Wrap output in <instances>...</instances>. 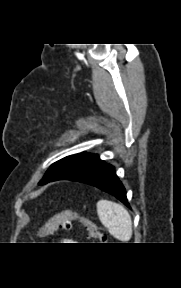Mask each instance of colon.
<instances>
[{
  "mask_svg": "<svg viewBox=\"0 0 181 288\" xmlns=\"http://www.w3.org/2000/svg\"><path fill=\"white\" fill-rule=\"evenodd\" d=\"M73 222H78L85 229L90 239L100 242L106 240L103 229L80 213L70 209H65L55 214L48 222L39 227L37 233L43 237L60 229L70 230Z\"/></svg>",
  "mask_w": 181,
  "mask_h": 288,
  "instance_id": "5ec220e1",
  "label": "colon"
}]
</instances>
